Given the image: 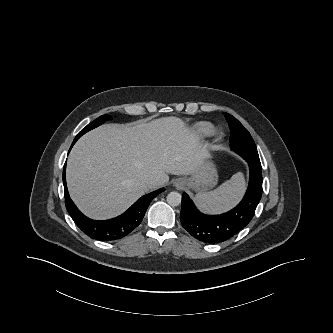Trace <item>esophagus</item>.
<instances>
[{"label": "esophagus", "mask_w": 333, "mask_h": 333, "mask_svg": "<svg viewBox=\"0 0 333 333\" xmlns=\"http://www.w3.org/2000/svg\"><path fill=\"white\" fill-rule=\"evenodd\" d=\"M177 188H181L183 186V182L181 180H177L174 184Z\"/></svg>", "instance_id": "esophagus-1"}]
</instances>
